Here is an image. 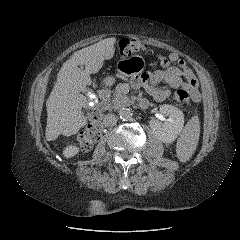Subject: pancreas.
<instances>
[{
  "label": "pancreas",
  "instance_id": "obj_1",
  "mask_svg": "<svg viewBox=\"0 0 240 240\" xmlns=\"http://www.w3.org/2000/svg\"><path fill=\"white\" fill-rule=\"evenodd\" d=\"M130 104L129 97L124 94L121 90V85H117L115 91L113 93V98L109 103L110 107L113 109H117L119 107L127 106Z\"/></svg>",
  "mask_w": 240,
  "mask_h": 240
}]
</instances>
